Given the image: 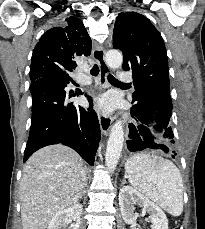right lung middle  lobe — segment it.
Listing matches in <instances>:
<instances>
[{
	"label": "right lung middle lobe",
	"mask_w": 205,
	"mask_h": 229,
	"mask_svg": "<svg viewBox=\"0 0 205 229\" xmlns=\"http://www.w3.org/2000/svg\"><path fill=\"white\" fill-rule=\"evenodd\" d=\"M56 79L68 84L69 81H71V78L69 76H65V75H57L55 76Z\"/></svg>",
	"instance_id": "right-lung-middle-lobe-1"
}]
</instances>
